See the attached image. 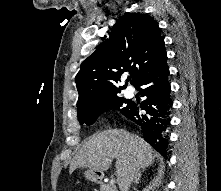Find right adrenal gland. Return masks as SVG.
I'll use <instances>...</instances> for the list:
<instances>
[{
    "label": "right adrenal gland",
    "instance_id": "obj_1",
    "mask_svg": "<svg viewBox=\"0 0 221 191\" xmlns=\"http://www.w3.org/2000/svg\"><path fill=\"white\" fill-rule=\"evenodd\" d=\"M140 178H141V173H138V174L135 176V178H134V182H135L136 184H138L139 181H140Z\"/></svg>",
    "mask_w": 221,
    "mask_h": 191
}]
</instances>
